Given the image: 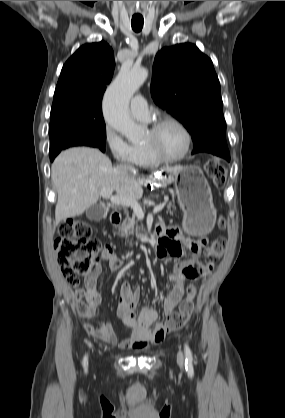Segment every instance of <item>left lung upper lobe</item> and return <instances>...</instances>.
Listing matches in <instances>:
<instances>
[{"mask_svg":"<svg viewBox=\"0 0 285 418\" xmlns=\"http://www.w3.org/2000/svg\"><path fill=\"white\" fill-rule=\"evenodd\" d=\"M151 94L192 135V154L209 152L230 159L220 83L211 59L196 45L177 44L156 54Z\"/></svg>","mask_w":285,"mask_h":418,"instance_id":"obj_1","label":"left lung upper lobe"}]
</instances>
